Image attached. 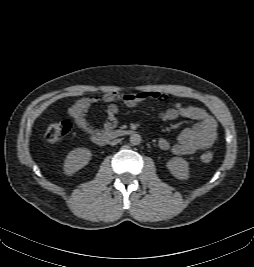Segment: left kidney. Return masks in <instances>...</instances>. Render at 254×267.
Segmentation results:
<instances>
[{"mask_svg":"<svg viewBox=\"0 0 254 267\" xmlns=\"http://www.w3.org/2000/svg\"><path fill=\"white\" fill-rule=\"evenodd\" d=\"M167 168L177 179L185 180L189 178V164L181 157H174L167 162Z\"/></svg>","mask_w":254,"mask_h":267,"instance_id":"1","label":"left kidney"}]
</instances>
